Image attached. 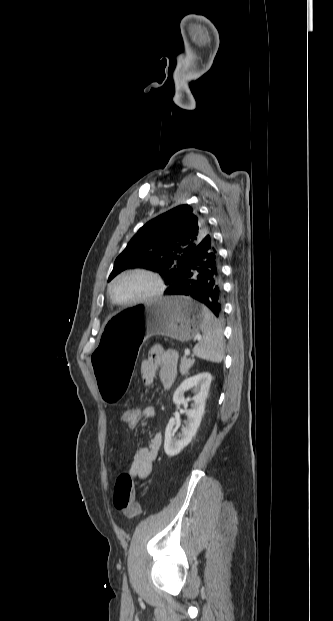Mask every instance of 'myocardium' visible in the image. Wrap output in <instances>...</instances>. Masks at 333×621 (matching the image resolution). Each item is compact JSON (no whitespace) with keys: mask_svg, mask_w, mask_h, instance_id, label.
Segmentation results:
<instances>
[{"mask_svg":"<svg viewBox=\"0 0 333 621\" xmlns=\"http://www.w3.org/2000/svg\"><path fill=\"white\" fill-rule=\"evenodd\" d=\"M128 275H143V276H147L150 279L153 280L154 282V289L152 292H150L149 294L140 297L138 299L135 300H130V301H119L115 298L114 294H113V286L114 284L121 278L128 276ZM165 291V284L164 281L162 279V277L160 276V274H158L156 271L152 270V269H148V268H144V267H134V268H129L126 269L122 272H120L118 275H116L109 283L108 285V295L111 299V301L118 305V306H134V305H138V304H143V303H147L153 300L158 299L159 297H161L163 295Z\"/></svg>","mask_w":333,"mask_h":621,"instance_id":"myocardium-1","label":"myocardium"}]
</instances>
